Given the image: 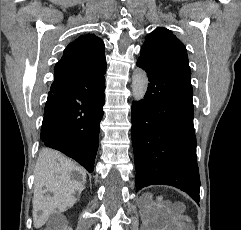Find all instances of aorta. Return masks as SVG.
<instances>
[{
	"mask_svg": "<svg viewBox=\"0 0 241 230\" xmlns=\"http://www.w3.org/2000/svg\"><path fill=\"white\" fill-rule=\"evenodd\" d=\"M148 88V77L144 70L136 69L132 75V95L136 102L144 99Z\"/></svg>",
	"mask_w": 241,
	"mask_h": 230,
	"instance_id": "obj_1",
	"label": "aorta"
}]
</instances>
